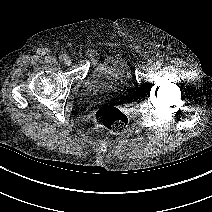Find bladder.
<instances>
[{
	"mask_svg": "<svg viewBox=\"0 0 212 212\" xmlns=\"http://www.w3.org/2000/svg\"><path fill=\"white\" fill-rule=\"evenodd\" d=\"M134 90L132 73L127 60L120 56L105 58L93 67L78 94V102L93 106L107 99L126 100Z\"/></svg>",
	"mask_w": 212,
	"mask_h": 212,
	"instance_id": "31cf9c89",
	"label": "bladder"
}]
</instances>
